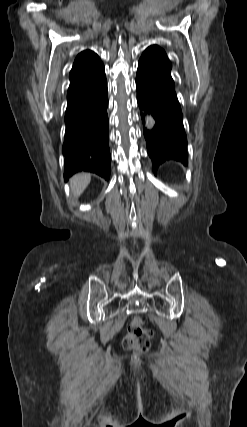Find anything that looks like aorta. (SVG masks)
I'll use <instances>...</instances> for the list:
<instances>
[{
    "instance_id": "762f6f07",
    "label": "aorta",
    "mask_w": 247,
    "mask_h": 427,
    "mask_svg": "<svg viewBox=\"0 0 247 427\" xmlns=\"http://www.w3.org/2000/svg\"><path fill=\"white\" fill-rule=\"evenodd\" d=\"M154 125H155V120L151 115H148L146 120V126L151 129L154 127Z\"/></svg>"
}]
</instances>
